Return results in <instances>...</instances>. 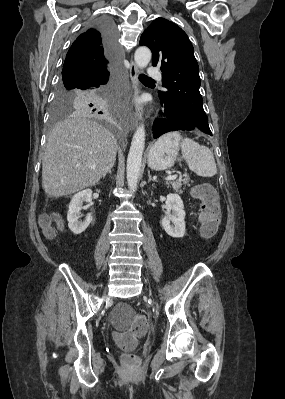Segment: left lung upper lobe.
I'll return each instance as SVG.
<instances>
[{"instance_id":"5c2ea615","label":"left lung upper lobe","mask_w":285,"mask_h":399,"mask_svg":"<svg viewBox=\"0 0 285 399\" xmlns=\"http://www.w3.org/2000/svg\"><path fill=\"white\" fill-rule=\"evenodd\" d=\"M140 45L151 49L152 64L162 71V85L167 91L159 92L160 99L170 101L201 131L212 134L199 92L198 63L186 33L171 21L157 18L143 32Z\"/></svg>"}]
</instances>
